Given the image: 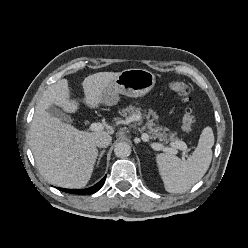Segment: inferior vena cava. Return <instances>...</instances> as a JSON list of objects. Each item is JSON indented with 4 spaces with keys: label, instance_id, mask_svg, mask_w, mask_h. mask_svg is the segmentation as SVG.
Wrapping results in <instances>:
<instances>
[{
    "label": "inferior vena cava",
    "instance_id": "obj_1",
    "mask_svg": "<svg viewBox=\"0 0 248 248\" xmlns=\"http://www.w3.org/2000/svg\"><path fill=\"white\" fill-rule=\"evenodd\" d=\"M112 141V137L109 134H102L95 140V145L100 148L107 147Z\"/></svg>",
    "mask_w": 248,
    "mask_h": 248
}]
</instances>
